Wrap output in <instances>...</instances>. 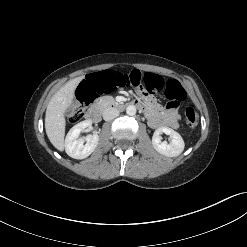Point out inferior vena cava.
Returning a JSON list of instances; mask_svg holds the SVG:
<instances>
[{"instance_id": "602c4592", "label": "inferior vena cava", "mask_w": 247, "mask_h": 247, "mask_svg": "<svg viewBox=\"0 0 247 247\" xmlns=\"http://www.w3.org/2000/svg\"><path fill=\"white\" fill-rule=\"evenodd\" d=\"M119 116V111L116 108L108 107L103 112V119L105 121H110Z\"/></svg>"}]
</instances>
